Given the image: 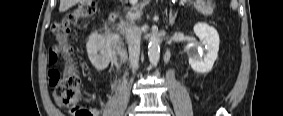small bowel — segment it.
I'll return each instance as SVG.
<instances>
[{"label":"small bowel","mask_w":283,"mask_h":116,"mask_svg":"<svg viewBox=\"0 0 283 116\" xmlns=\"http://www.w3.org/2000/svg\"><path fill=\"white\" fill-rule=\"evenodd\" d=\"M56 58L54 55H52V53H49V62L52 64L53 62H55ZM58 72L55 70H51L49 71L48 75H57ZM92 110V115L91 116H100L101 115V111L99 109H91Z\"/></svg>","instance_id":"obj_1"}]
</instances>
